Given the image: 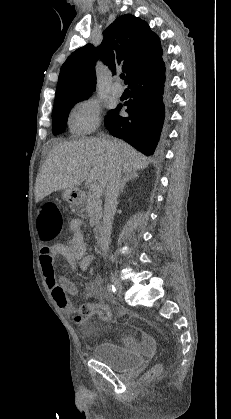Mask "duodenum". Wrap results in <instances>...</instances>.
Masks as SVG:
<instances>
[{"label": "duodenum", "mask_w": 231, "mask_h": 419, "mask_svg": "<svg viewBox=\"0 0 231 419\" xmlns=\"http://www.w3.org/2000/svg\"><path fill=\"white\" fill-rule=\"evenodd\" d=\"M96 239L101 242L103 240V230L100 224L96 225L94 228Z\"/></svg>", "instance_id": "obj_1"}]
</instances>
